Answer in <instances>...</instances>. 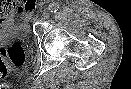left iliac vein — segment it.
Returning a JSON list of instances; mask_svg holds the SVG:
<instances>
[{
  "mask_svg": "<svg viewBox=\"0 0 131 89\" xmlns=\"http://www.w3.org/2000/svg\"><path fill=\"white\" fill-rule=\"evenodd\" d=\"M49 15H50V11H49L48 9H45V10L43 11V13H42V17H43L44 19H47V18L49 17Z\"/></svg>",
  "mask_w": 131,
  "mask_h": 89,
  "instance_id": "obj_1",
  "label": "left iliac vein"
}]
</instances>
